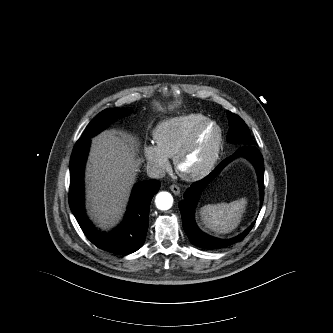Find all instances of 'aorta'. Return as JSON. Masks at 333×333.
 <instances>
[{"mask_svg": "<svg viewBox=\"0 0 333 333\" xmlns=\"http://www.w3.org/2000/svg\"><path fill=\"white\" fill-rule=\"evenodd\" d=\"M155 204L160 210H168L172 207L173 197L169 192H160L156 196Z\"/></svg>", "mask_w": 333, "mask_h": 333, "instance_id": "1", "label": "aorta"}]
</instances>
